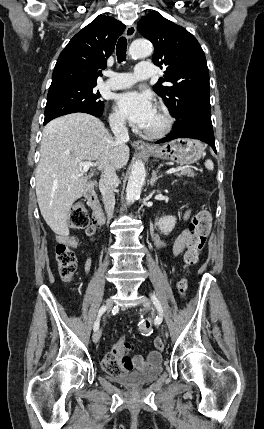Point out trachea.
<instances>
[{
    "instance_id": "obj_1",
    "label": "trachea",
    "mask_w": 264,
    "mask_h": 429,
    "mask_svg": "<svg viewBox=\"0 0 264 429\" xmlns=\"http://www.w3.org/2000/svg\"><path fill=\"white\" fill-rule=\"evenodd\" d=\"M126 49H127V40L125 37H121L118 40V43L116 45V54H117V60L119 63L125 61Z\"/></svg>"
}]
</instances>
